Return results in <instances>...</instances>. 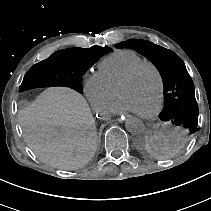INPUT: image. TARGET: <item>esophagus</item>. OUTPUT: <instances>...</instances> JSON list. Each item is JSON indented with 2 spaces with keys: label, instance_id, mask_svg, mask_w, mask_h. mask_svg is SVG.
I'll return each mask as SVG.
<instances>
[{
  "label": "esophagus",
  "instance_id": "esophagus-1",
  "mask_svg": "<svg viewBox=\"0 0 211 211\" xmlns=\"http://www.w3.org/2000/svg\"><path fill=\"white\" fill-rule=\"evenodd\" d=\"M126 118H127V115H126L125 113H122V114H120V115H115V116L113 117V120H114L115 122H121V121L125 120Z\"/></svg>",
  "mask_w": 211,
  "mask_h": 211
}]
</instances>
